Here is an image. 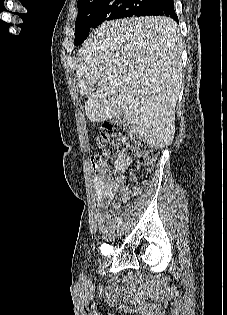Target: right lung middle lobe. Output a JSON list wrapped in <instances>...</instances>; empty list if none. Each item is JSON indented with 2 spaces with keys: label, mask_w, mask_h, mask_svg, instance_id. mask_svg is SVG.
Listing matches in <instances>:
<instances>
[{
  "label": "right lung middle lobe",
  "mask_w": 227,
  "mask_h": 315,
  "mask_svg": "<svg viewBox=\"0 0 227 315\" xmlns=\"http://www.w3.org/2000/svg\"><path fill=\"white\" fill-rule=\"evenodd\" d=\"M155 0H79L75 23V45L81 44L91 28L104 21L131 17L136 10H144Z\"/></svg>",
  "instance_id": "1"
}]
</instances>
